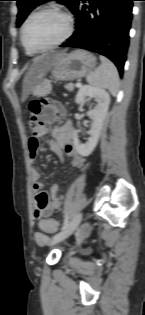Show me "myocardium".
Returning <instances> with one entry per match:
<instances>
[{"instance_id": "f54148a6", "label": "myocardium", "mask_w": 145, "mask_h": 315, "mask_svg": "<svg viewBox=\"0 0 145 315\" xmlns=\"http://www.w3.org/2000/svg\"><path fill=\"white\" fill-rule=\"evenodd\" d=\"M43 13H54V14L60 16L65 22V32L63 33V35L59 39H57L56 41H54V42H52L46 46H42V47L30 46L27 43L26 38H25V32H26L27 25L33 17H35L39 14H43ZM73 26H74L73 25V18L67 11H64L58 7H55V6L43 7V8H40V9L34 11L33 13H31L26 18V20L24 21L22 28H21V41H22L23 46L30 51H33V52L47 51V50L53 49V48L63 44L72 35Z\"/></svg>"}]
</instances>
